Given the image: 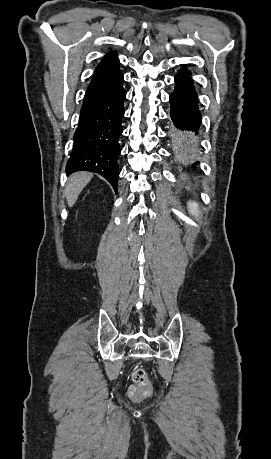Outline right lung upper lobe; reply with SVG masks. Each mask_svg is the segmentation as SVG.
I'll return each instance as SVG.
<instances>
[{
	"label": "right lung upper lobe",
	"mask_w": 271,
	"mask_h": 459,
	"mask_svg": "<svg viewBox=\"0 0 271 459\" xmlns=\"http://www.w3.org/2000/svg\"><path fill=\"white\" fill-rule=\"evenodd\" d=\"M116 71H119V59L114 52H111L97 66L93 80Z\"/></svg>",
	"instance_id": "right-lung-upper-lobe-1"
}]
</instances>
